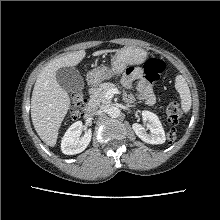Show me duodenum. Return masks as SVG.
<instances>
[{"label":"duodenum","mask_w":220,"mask_h":220,"mask_svg":"<svg viewBox=\"0 0 220 220\" xmlns=\"http://www.w3.org/2000/svg\"><path fill=\"white\" fill-rule=\"evenodd\" d=\"M90 91H92V88H90ZM95 110V105L93 101H90L89 105L87 106L85 110V117L89 118L93 115Z\"/></svg>","instance_id":"410a0bca"}]
</instances>
